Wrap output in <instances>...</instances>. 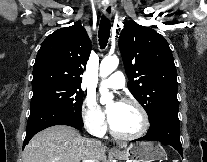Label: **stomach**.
Masks as SVG:
<instances>
[{
  "mask_svg": "<svg viewBox=\"0 0 207 162\" xmlns=\"http://www.w3.org/2000/svg\"><path fill=\"white\" fill-rule=\"evenodd\" d=\"M114 155L127 162H154L167 158L164 148L159 143L148 141L131 144L124 150L115 151Z\"/></svg>",
  "mask_w": 207,
  "mask_h": 162,
  "instance_id": "stomach-1",
  "label": "stomach"
}]
</instances>
